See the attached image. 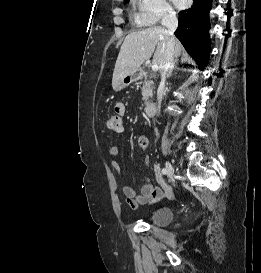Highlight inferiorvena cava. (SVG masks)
<instances>
[{"label":"inferior vena cava","mask_w":261,"mask_h":273,"mask_svg":"<svg viewBox=\"0 0 261 273\" xmlns=\"http://www.w3.org/2000/svg\"><path fill=\"white\" fill-rule=\"evenodd\" d=\"M162 25L167 29L169 34V39L166 45V53L163 64L160 68L161 81L157 90V100H158V115L160 113L161 101L165 89V81L168 72L174 68L175 63V43H174V32L178 27V20L176 13L172 9H167L162 17Z\"/></svg>","instance_id":"602c4592"}]
</instances>
